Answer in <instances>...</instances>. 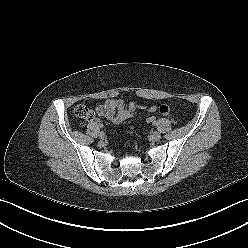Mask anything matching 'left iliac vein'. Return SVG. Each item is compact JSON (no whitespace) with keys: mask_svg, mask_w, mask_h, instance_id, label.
I'll return each instance as SVG.
<instances>
[{"mask_svg":"<svg viewBox=\"0 0 248 248\" xmlns=\"http://www.w3.org/2000/svg\"><path fill=\"white\" fill-rule=\"evenodd\" d=\"M152 140L154 141H159L161 139V134L160 132H153L151 135Z\"/></svg>","mask_w":248,"mask_h":248,"instance_id":"left-iliac-vein-1","label":"left iliac vein"}]
</instances>
